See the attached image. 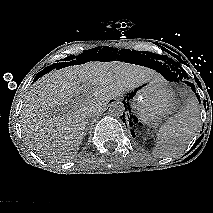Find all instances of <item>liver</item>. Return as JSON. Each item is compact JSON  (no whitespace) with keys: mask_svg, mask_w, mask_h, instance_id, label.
<instances>
[{"mask_svg":"<svg viewBox=\"0 0 213 213\" xmlns=\"http://www.w3.org/2000/svg\"><path fill=\"white\" fill-rule=\"evenodd\" d=\"M159 74L122 61H90L52 70L29 89L21 128L32 150L54 162L72 159L82 144L88 116L103 111L110 99L133 90ZM91 93L85 103L77 96Z\"/></svg>","mask_w":213,"mask_h":213,"instance_id":"obj_1","label":"liver"}]
</instances>
